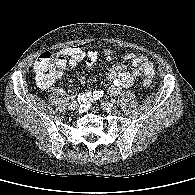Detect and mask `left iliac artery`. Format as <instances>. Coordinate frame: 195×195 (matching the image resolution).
<instances>
[{
    "label": "left iliac artery",
    "mask_w": 195,
    "mask_h": 195,
    "mask_svg": "<svg viewBox=\"0 0 195 195\" xmlns=\"http://www.w3.org/2000/svg\"><path fill=\"white\" fill-rule=\"evenodd\" d=\"M111 102H112V103H116V100H115V99H112Z\"/></svg>",
    "instance_id": "obj_1"
}]
</instances>
